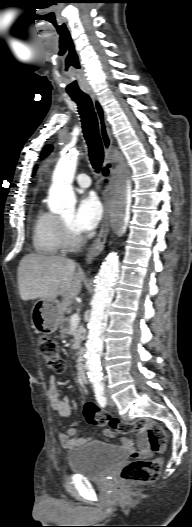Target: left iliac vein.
<instances>
[{"label": "left iliac vein", "instance_id": "4c4485c4", "mask_svg": "<svg viewBox=\"0 0 192 527\" xmlns=\"http://www.w3.org/2000/svg\"><path fill=\"white\" fill-rule=\"evenodd\" d=\"M106 397H107V400H108V404L110 406H114L115 403H114L113 399L110 397V394H109V392L107 390H106Z\"/></svg>", "mask_w": 192, "mask_h": 527}]
</instances>
